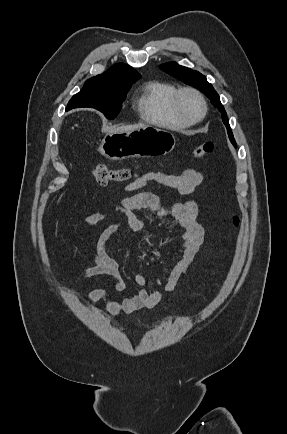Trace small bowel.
<instances>
[{
    "instance_id": "1",
    "label": "small bowel",
    "mask_w": 287,
    "mask_h": 434,
    "mask_svg": "<svg viewBox=\"0 0 287 434\" xmlns=\"http://www.w3.org/2000/svg\"><path fill=\"white\" fill-rule=\"evenodd\" d=\"M202 181V174L194 169H186L180 175L154 171L137 177L125 186L124 190L128 195L121 200L115 210L127 218V223L112 225L100 235L98 253L86 252L92 265L78 273L74 284L77 285L83 278L107 275L111 277L116 290L125 289L126 284L120 272V263L106 252L105 247L107 242L119 233L135 235L146 228V222L134 216L133 212L136 210H149L158 217L171 218L176 221L182 232L180 241L172 247L157 248L151 251L155 256H174L176 260L164 278L152 281L155 286H164V291L147 292L144 287L149 283L148 279L137 274L134 276V282L141 289L123 301H114L105 291L97 289L85 296L89 304L103 302L106 310L111 314H127L140 309H151L160 303L166 294L175 290L204 241L205 232L197 221L199 210L193 198L196 188ZM150 183L175 189L185 197V200L179 203L164 204L152 193L133 194ZM105 217V212H95L84 219V224L91 227Z\"/></svg>"
}]
</instances>
